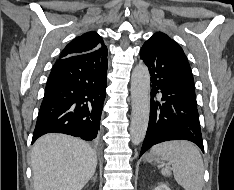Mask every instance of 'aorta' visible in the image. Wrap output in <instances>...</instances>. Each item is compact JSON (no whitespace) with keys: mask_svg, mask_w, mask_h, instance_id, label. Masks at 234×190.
Returning <instances> with one entry per match:
<instances>
[{"mask_svg":"<svg viewBox=\"0 0 234 190\" xmlns=\"http://www.w3.org/2000/svg\"><path fill=\"white\" fill-rule=\"evenodd\" d=\"M131 125L130 135L134 145L145 138L150 113V74L148 67L139 63L131 76Z\"/></svg>","mask_w":234,"mask_h":190,"instance_id":"aorta-1","label":"aorta"}]
</instances>
